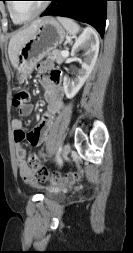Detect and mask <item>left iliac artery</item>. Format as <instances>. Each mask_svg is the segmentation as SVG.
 I'll use <instances>...</instances> for the list:
<instances>
[{"label":"left iliac artery","instance_id":"44dca946","mask_svg":"<svg viewBox=\"0 0 133 253\" xmlns=\"http://www.w3.org/2000/svg\"><path fill=\"white\" fill-rule=\"evenodd\" d=\"M62 151V148L60 147L57 151V154H56V160H59L60 159V153Z\"/></svg>","mask_w":133,"mask_h":253}]
</instances>
